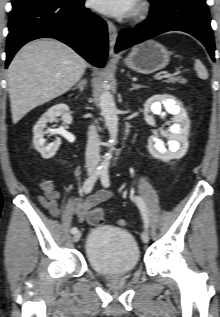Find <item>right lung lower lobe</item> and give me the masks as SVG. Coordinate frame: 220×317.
Listing matches in <instances>:
<instances>
[{
	"instance_id": "right-lung-lower-lobe-1",
	"label": "right lung lower lobe",
	"mask_w": 220,
	"mask_h": 317,
	"mask_svg": "<svg viewBox=\"0 0 220 317\" xmlns=\"http://www.w3.org/2000/svg\"><path fill=\"white\" fill-rule=\"evenodd\" d=\"M84 0L37 1L13 7L9 18L6 67L25 43L52 37L72 47L96 67L108 52L106 23L83 7Z\"/></svg>"
}]
</instances>
